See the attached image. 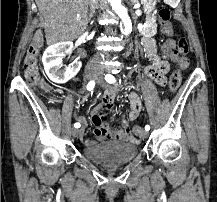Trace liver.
Masks as SVG:
<instances>
[{"mask_svg":"<svg viewBox=\"0 0 217 202\" xmlns=\"http://www.w3.org/2000/svg\"><path fill=\"white\" fill-rule=\"evenodd\" d=\"M45 18V38L48 46L72 42L84 34L88 24L89 0H35ZM79 14L81 20H76Z\"/></svg>","mask_w":217,"mask_h":202,"instance_id":"1","label":"liver"}]
</instances>
